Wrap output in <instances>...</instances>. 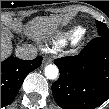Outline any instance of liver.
<instances>
[{"mask_svg":"<svg viewBox=\"0 0 109 109\" xmlns=\"http://www.w3.org/2000/svg\"><path fill=\"white\" fill-rule=\"evenodd\" d=\"M63 19L58 16L36 17L25 25V34L32 39H42L52 35L58 29ZM12 43L9 33L6 30L1 32V59L4 60L10 56Z\"/></svg>","mask_w":109,"mask_h":109,"instance_id":"1","label":"liver"}]
</instances>
